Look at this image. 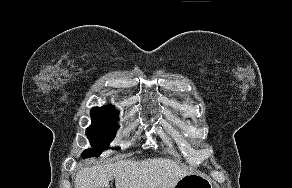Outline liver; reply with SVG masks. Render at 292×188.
Here are the masks:
<instances>
[{"label": "liver", "instance_id": "obj_1", "mask_svg": "<svg viewBox=\"0 0 292 188\" xmlns=\"http://www.w3.org/2000/svg\"><path fill=\"white\" fill-rule=\"evenodd\" d=\"M191 173L167 158L125 159L81 168L74 188H109L112 179L116 188H174L180 178Z\"/></svg>", "mask_w": 292, "mask_h": 188}]
</instances>
